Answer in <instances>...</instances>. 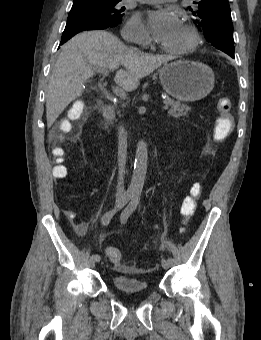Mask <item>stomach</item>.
Masks as SVG:
<instances>
[{
  "label": "stomach",
  "mask_w": 261,
  "mask_h": 340,
  "mask_svg": "<svg viewBox=\"0 0 261 340\" xmlns=\"http://www.w3.org/2000/svg\"><path fill=\"white\" fill-rule=\"evenodd\" d=\"M163 89L173 98L194 102L205 98L214 88L212 69L195 61H175L165 64L159 71Z\"/></svg>",
  "instance_id": "0dacf381"
}]
</instances>
